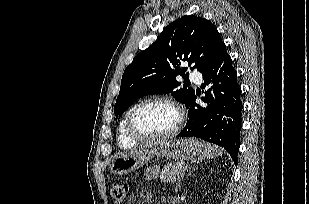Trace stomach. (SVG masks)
I'll return each mask as SVG.
<instances>
[{
    "instance_id": "stomach-1",
    "label": "stomach",
    "mask_w": 309,
    "mask_h": 204,
    "mask_svg": "<svg viewBox=\"0 0 309 204\" xmlns=\"http://www.w3.org/2000/svg\"><path fill=\"white\" fill-rule=\"evenodd\" d=\"M202 152L201 143L194 138L163 140L153 147L116 157L110 164V171L118 175L127 174L139 169L154 156L187 161L199 156Z\"/></svg>"
}]
</instances>
